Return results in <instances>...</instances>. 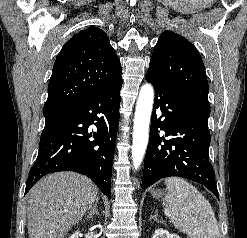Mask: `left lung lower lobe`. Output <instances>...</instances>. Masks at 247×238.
Wrapping results in <instances>:
<instances>
[{
	"instance_id": "0a47b994",
	"label": "left lung lower lobe",
	"mask_w": 247,
	"mask_h": 238,
	"mask_svg": "<svg viewBox=\"0 0 247 238\" xmlns=\"http://www.w3.org/2000/svg\"><path fill=\"white\" fill-rule=\"evenodd\" d=\"M155 89L150 140L145 155L142 187L165 177H182L204 185L219 198L215 172L209 162V113L166 88L152 74ZM160 110V115L157 112ZM159 129L165 136L159 134ZM170 136V139L165 137Z\"/></svg>"
}]
</instances>
